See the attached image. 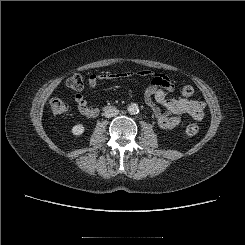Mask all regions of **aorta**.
I'll use <instances>...</instances> for the list:
<instances>
[{
	"label": "aorta",
	"instance_id": "aorta-1",
	"mask_svg": "<svg viewBox=\"0 0 245 245\" xmlns=\"http://www.w3.org/2000/svg\"><path fill=\"white\" fill-rule=\"evenodd\" d=\"M128 112L130 114H137L139 112V107L137 104L135 103H131L129 106H128Z\"/></svg>",
	"mask_w": 245,
	"mask_h": 245
}]
</instances>
